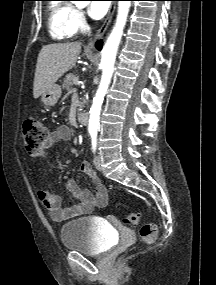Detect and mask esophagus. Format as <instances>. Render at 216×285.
<instances>
[{"mask_svg": "<svg viewBox=\"0 0 216 285\" xmlns=\"http://www.w3.org/2000/svg\"><path fill=\"white\" fill-rule=\"evenodd\" d=\"M115 9H116V4L115 3H112L110 8H109V11H108V14H107V17L105 19V22L104 24L102 25V27L97 31V33L95 34L94 38L91 39L88 43V47H93L94 45V41L97 40V39H100L103 34L105 33L107 27L109 26L112 18H113V15H114V12H115Z\"/></svg>", "mask_w": 216, "mask_h": 285, "instance_id": "1", "label": "esophagus"}]
</instances>
